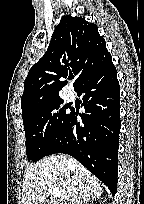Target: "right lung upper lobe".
I'll return each mask as SVG.
<instances>
[{
	"mask_svg": "<svg viewBox=\"0 0 144 204\" xmlns=\"http://www.w3.org/2000/svg\"><path fill=\"white\" fill-rule=\"evenodd\" d=\"M111 60L98 27L80 17L63 16L55 28L46 53L31 67L21 98L22 117L59 98L65 83L60 78L76 77V91L92 73Z\"/></svg>",
	"mask_w": 144,
	"mask_h": 204,
	"instance_id": "right-lung-upper-lobe-1",
	"label": "right lung upper lobe"
}]
</instances>
